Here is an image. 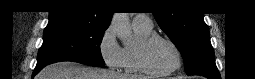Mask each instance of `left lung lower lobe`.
Returning <instances> with one entry per match:
<instances>
[{"instance_id":"1","label":"left lung lower lobe","mask_w":255,"mask_h":79,"mask_svg":"<svg viewBox=\"0 0 255 79\" xmlns=\"http://www.w3.org/2000/svg\"><path fill=\"white\" fill-rule=\"evenodd\" d=\"M201 76L207 77L208 79H220L219 73H201Z\"/></svg>"}]
</instances>
